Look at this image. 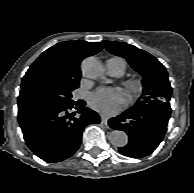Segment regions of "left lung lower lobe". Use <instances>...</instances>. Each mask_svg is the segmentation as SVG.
I'll return each instance as SVG.
<instances>
[{
    "label": "left lung lower lobe",
    "instance_id": "1",
    "mask_svg": "<svg viewBox=\"0 0 194 193\" xmlns=\"http://www.w3.org/2000/svg\"><path fill=\"white\" fill-rule=\"evenodd\" d=\"M171 115L169 102L128 109L108 121L115 130H122L129 137L128 144L118 150L123 155L141 158L151 154L162 141Z\"/></svg>",
    "mask_w": 194,
    "mask_h": 193
}]
</instances>
